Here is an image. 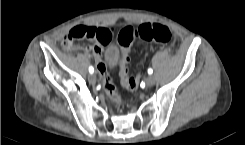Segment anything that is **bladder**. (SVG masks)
I'll use <instances>...</instances> for the list:
<instances>
[{
	"label": "bladder",
	"mask_w": 245,
	"mask_h": 145,
	"mask_svg": "<svg viewBox=\"0 0 245 145\" xmlns=\"http://www.w3.org/2000/svg\"><path fill=\"white\" fill-rule=\"evenodd\" d=\"M119 55L120 49L115 45H110L105 49L103 58L105 65L110 71H113L116 68L119 60Z\"/></svg>",
	"instance_id": "31cf9c89"
}]
</instances>
